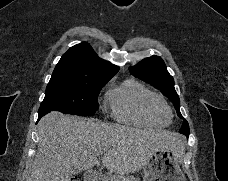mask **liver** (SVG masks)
Masks as SVG:
<instances>
[{"mask_svg":"<svg viewBox=\"0 0 228 181\" xmlns=\"http://www.w3.org/2000/svg\"><path fill=\"white\" fill-rule=\"evenodd\" d=\"M183 141L178 133L142 131L52 111L38 123V149L29 181H70L72 167L90 171L102 149H108L101 159L103 167L130 175L143 169L157 149H172L178 159L184 153Z\"/></svg>","mask_w":228,"mask_h":181,"instance_id":"liver-1","label":"liver"}]
</instances>
